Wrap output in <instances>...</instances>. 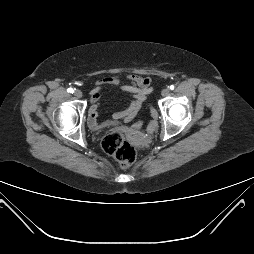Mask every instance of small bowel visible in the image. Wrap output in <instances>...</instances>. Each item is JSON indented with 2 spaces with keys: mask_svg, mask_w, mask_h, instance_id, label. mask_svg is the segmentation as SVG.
I'll return each instance as SVG.
<instances>
[{
  "mask_svg": "<svg viewBox=\"0 0 254 254\" xmlns=\"http://www.w3.org/2000/svg\"><path fill=\"white\" fill-rule=\"evenodd\" d=\"M151 78L148 76L139 75H129L126 82L122 81L118 76H107L98 79L95 82V86L90 92V103L91 106L88 111V124L94 129L100 127H106L111 123H106L103 125L98 124V115L100 112V100L102 97L101 91L105 87H116L119 90L129 93L132 96V102L128 109L123 112L115 113L113 115L114 120H131L139 111L142 103L145 101L147 95L151 92ZM151 115L153 119L157 118V112L151 110ZM157 127L155 120L151 121L148 126V131L153 132Z\"/></svg>",
  "mask_w": 254,
  "mask_h": 254,
  "instance_id": "obj_1",
  "label": "small bowel"
}]
</instances>
